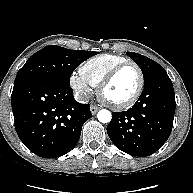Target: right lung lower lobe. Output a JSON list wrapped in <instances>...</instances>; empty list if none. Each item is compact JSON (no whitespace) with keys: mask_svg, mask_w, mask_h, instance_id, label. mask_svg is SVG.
<instances>
[{"mask_svg":"<svg viewBox=\"0 0 193 193\" xmlns=\"http://www.w3.org/2000/svg\"><path fill=\"white\" fill-rule=\"evenodd\" d=\"M11 103L20 140L43 158L70 152L83 124L92 117L90 105L78 103L70 85L48 79L14 84Z\"/></svg>","mask_w":193,"mask_h":193,"instance_id":"right-lung-lower-lobe-1","label":"right lung lower lobe"}]
</instances>
